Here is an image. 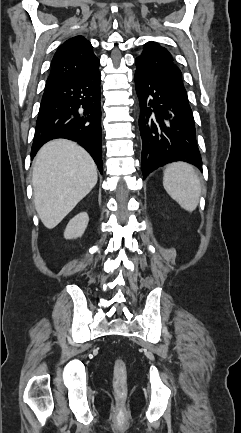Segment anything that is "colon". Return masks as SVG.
Returning <instances> with one entry per match:
<instances>
[{"label": "colon", "instance_id": "5ec220e1", "mask_svg": "<svg viewBox=\"0 0 241 433\" xmlns=\"http://www.w3.org/2000/svg\"><path fill=\"white\" fill-rule=\"evenodd\" d=\"M113 387L119 397L127 392V367L122 358H116L113 369Z\"/></svg>", "mask_w": 241, "mask_h": 433}]
</instances>
